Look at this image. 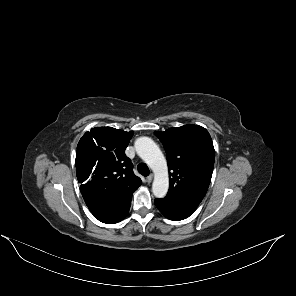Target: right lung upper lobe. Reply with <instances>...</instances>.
<instances>
[{
    "mask_svg": "<svg viewBox=\"0 0 296 296\" xmlns=\"http://www.w3.org/2000/svg\"><path fill=\"white\" fill-rule=\"evenodd\" d=\"M132 136L133 131L112 127H95L83 135L77 146L75 166L84 200L126 197L141 185L124 153Z\"/></svg>",
    "mask_w": 296,
    "mask_h": 296,
    "instance_id": "cb5924a9",
    "label": "right lung upper lobe"
}]
</instances>
